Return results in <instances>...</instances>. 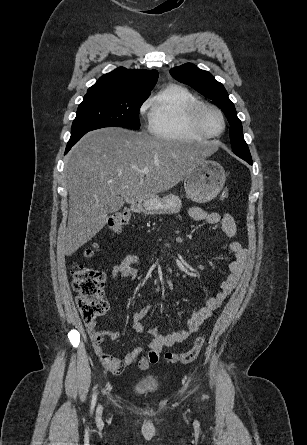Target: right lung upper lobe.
I'll use <instances>...</instances> for the list:
<instances>
[{"mask_svg":"<svg viewBox=\"0 0 307 445\" xmlns=\"http://www.w3.org/2000/svg\"><path fill=\"white\" fill-rule=\"evenodd\" d=\"M157 79L156 70H128L121 67L100 77L87 90L85 96L113 95L148 98Z\"/></svg>","mask_w":307,"mask_h":445,"instance_id":"right-lung-upper-lobe-1","label":"right lung upper lobe"}]
</instances>
